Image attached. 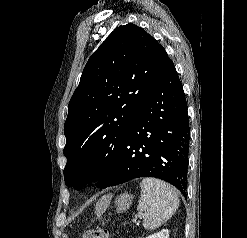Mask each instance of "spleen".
Masks as SVG:
<instances>
[{
	"mask_svg": "<svg viewBox=\"0 0 247 238\" xmlns=\"http://www.w3.org/2000/svg\"><path fill=\"white\" fill-rule=\"evenodd\" d=\"M137 209L143 211V227L153 230L169 220L179 207L174 187L159 179L146 177L141 183Z\"/></svg>",
	"mask_w": 247,
	"mask_h": 238,
	"instance_id": "3e777b00",
	"label": "spleen"
}]
</instances>
